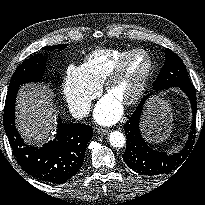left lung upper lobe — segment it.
I'll list each match as a JSON object with an SVG mask.
<instances>
[{
    "instance_id": "5c2ea615",
    "label": "left lung upper lobe",
    "mask_w": 205,
    "mask_h": 205,
    "mask_svg": "<svg viewBox=\"0 0 205 205\" xmlns=\"http://www.w3.org/2000/svg\"><path fill=\"white\" fill-rule=\"evenodd\" d=\"M166 61L154 82L156 91L165 90L170 87L190 84L187 70L180 57L169 49H165Z\"/></svg>"
}]
</instances>
